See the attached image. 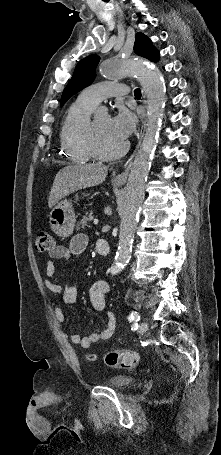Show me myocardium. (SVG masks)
<instances>
[{
    "label": "myocardium",
    "instance_id": "f54148a6",
    "mask_svg": "<svg viewBox=\"0 0 221 455\" xmlns=\"http://www.w3.org/2000/svg\"><path fill=\"white\" fill-rule=\"evenodd\" d=\"M87 146L92 157L98 160H113L124 155L129 147V143L124 141V143L116 150L112 152H103L99 149L97 144L96 129L94 121H90L87 128Z\"/></svg>",
    "mask_w": 221,
    "mask_h": 455
}]
</instances>
